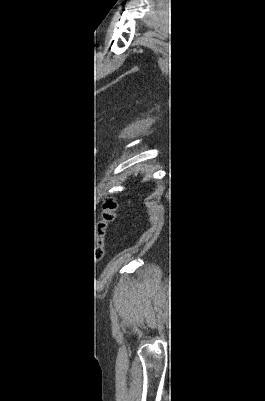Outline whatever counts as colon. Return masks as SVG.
I'll use <instances>...</instances> for the list:
<instances>
[{"instance_id":"5ec220e1","label":"colon","mask_w":265,"mask_h":401,"mask_svg":"<svg viewBox=\"0 0 265 401\" xmlns=\"http://www.w3.org/2000/svg\"><path fill=\"white\" fill-rule=\"evenodd\" d=\"M117 209V202L113 196H107L103 200V212L105 214V218L112 219L115 216V212ZM103 257V248H97L94 254V262L95 264L99 263Z\"/></svg>"}]
</instances>
